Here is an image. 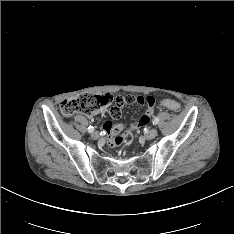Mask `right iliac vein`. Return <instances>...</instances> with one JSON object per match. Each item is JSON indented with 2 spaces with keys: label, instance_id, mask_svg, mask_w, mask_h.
Listing matches in <instances>:
<instances>
[{
  "label": "right iliac vein",
  "instance_id": "63e3f726",
  "mask_svg": "<svg viewBox=\"0 0 234 234\" xmlns=\"http://www.w3.org/2000/svg\"><path fill=\"white\" fill-rule=\"evenodd\" d=\"M91 137H92L93 139H98V138H99V133H98L97 131H95V132H93V133L91 134Z\"/></svg>",
  "mask_w": 234,
  "mask_h": 234
}]
</instances>
